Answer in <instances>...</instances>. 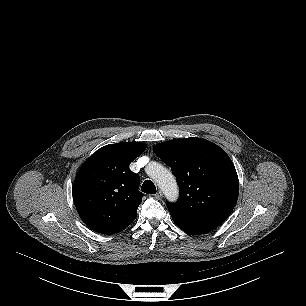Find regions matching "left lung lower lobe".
<instances>
[{"label": "left lung lower lobe", "mask_w": 306, "mask_h": 306, "mask_svg": "<svg viewBox=\"0 0 306 306\" xmlns=\"http://www.w3.org/2000/svg\"><path fill=\"white\" fill-rule=\"evenodd\" d=\"M173 220L182 230H184L185 232H187L191 235L205 234V233H208V232L213 230V229L196 227V226H193V225L182 223V222H179L175 219H173Z\"/></svg>", "instance_id": "obj_1"}]
</instances>
